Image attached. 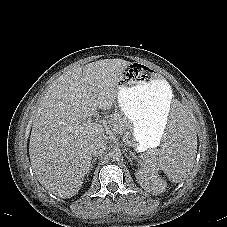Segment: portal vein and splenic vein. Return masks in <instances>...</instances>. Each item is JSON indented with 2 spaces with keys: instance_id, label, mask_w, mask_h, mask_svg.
Masks as SVG:
<instances>
[{
  "instance_id": "obj_1",
  "label": "portal vein and splenic vein",
  "mask_w": 227,
  "mask_h": 227,
  "mask_svg": "<svg viewBox=\"0 0 227 227\" xmlns=\"http://www.w3.org/2000/svg\"><path fill=\"white\" fill-rule=\"evenodd\" d=\"M70 132L78 134H87L94 132H103V128L100 124L93 123L92 121H87L84 124H76L75 126L69 127Z\"/></svg>"
}]
</instances>
